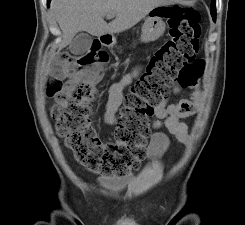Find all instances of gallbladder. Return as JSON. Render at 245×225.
I'll return each instance as SVG.
<instances>
[{"mask_svg": "<svg viewBox=\"0 0 245 225\" xmlns=\"http://www.w3.org/2000/svg\"><path fill=\"white\" fill-rule=\"evenodd\" d=\"M92 38L87 33H79L69 44V51L77 56L85 54L90 48Z\"/></svg>", "mask_w": 245, "mask_h": 225, "instance_id": "1", "label": "gallbladder"}]
</instances>
